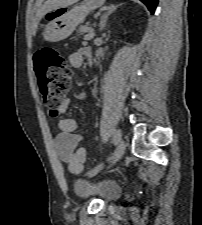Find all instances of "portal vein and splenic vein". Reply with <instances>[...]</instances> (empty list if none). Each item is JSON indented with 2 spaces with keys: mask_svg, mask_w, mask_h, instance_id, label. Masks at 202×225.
<instances>
[{
  "mask_svg": "<svg viewBox=\"0 0 202 225\" xmlns=\"http://www.w3.org/2000/svg\"><path fill=\"white\" fill-rule=\"evenodd\" d=\"M94 36H95L94 30H93V29H90V30L88 31V34L85 35L84 40H85V41L91 40V39L94 38Z\"/></svg>",
  "mask_w": 202,
  "mask_h": 225,
  "instance_id": "obj_1",
  "label": "portal vein and splenic vein"
}]
</instances>
